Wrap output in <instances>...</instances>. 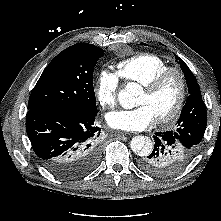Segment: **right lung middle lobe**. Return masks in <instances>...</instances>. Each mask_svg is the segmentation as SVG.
I'll use <instances>...</instances> for the list:
<instances>
[{"label": "right lung middle lobe", "mask_w": 221, "mask_h": 221, "mask_svg": "<svg viewBox=\"0 0 221 221\" xmlns=\"http://www.w3.org/2000/svg\"><path fill=\"white\" fill-rule=\"evenodd\" d=\"M104 50L77 43L59 53L31 92L28 110L97 111L93 71Z\"/></svg>", "instance_id": "right-lung-middle-lobe-1"}]
</instances>
